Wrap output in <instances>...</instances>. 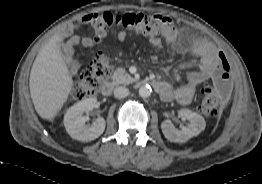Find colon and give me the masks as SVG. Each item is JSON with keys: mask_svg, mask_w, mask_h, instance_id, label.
<instances>
[{"mask_svg": "<svg viewBox=\"0 0 262 184\" xmlns=\"http://www.w3.org/2000/svg\"><path fill=\"white\" fill-rule=\"evenodd\" d=\"M84 24L94 29L96 40L105 38L112 28L119 27L130 35L157 37L173 30L170 18L158 14L110 12L90 13L82 18ZM217 75L212 82L203 85L200 91L199 109L208 116L219 114L220 107L226 102L232 89L231 71L228 61L222 53L218 54ZM112 71V60L98 53L93 61L84 67L72 89V97L77 100L98 93Z\"/></svg>", "mask_w": 262, "mask_h": 184, "instance_id": "5ec220e1", "label": "colon"}]
</instances>
